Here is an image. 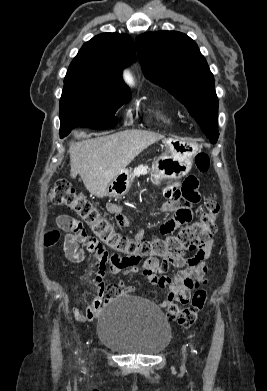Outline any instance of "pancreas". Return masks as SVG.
<instances>
[{"label": "pancreas", "instance_id": "1", "mask_svg": "<svg viewBox=\"0 0 267 391\" xmlns=\"http://www.w3.org/2000/svg\"><path fill=\"white\" fill-rule=\"evenodd\" d=\"M149 171H150V168L148 166L141 165V166L135 168L134 171L131 173V179L133 180V178H135L136 176L146 174Z\"/></svg>", "mask_w": 267, "mask_h": 391}]
</instances>
